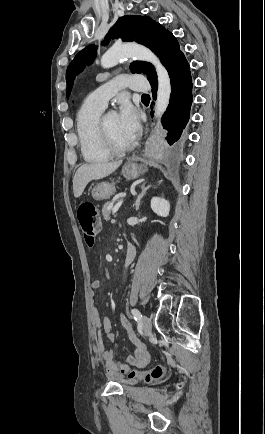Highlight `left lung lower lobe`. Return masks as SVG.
I'll return each mask as SVG.
<instances>
[{
  "instance_id": "1",
  "label": "left lung lower lobe",
  "mask_w": 265,
  "mask_h": 434,
  "mask_svg": "<svg viewBox=\"0 0 265 434\" xmlns=\"http://www.w3.org/2000/svg\"><path fill=\"white\" fill-rule=\"evenodd\" d=\"M171 100L162 117L163 128L168 131L166 141H159V149L166 152H177L188 142L187 127L192 105V77L190 66L184 54L178 56L170 71ZM157 85L152 87L153 98H156Z\"/></svg>"
}]
</instances>
